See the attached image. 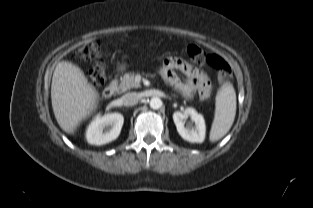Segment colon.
I'll return each mask as SVG.
<instances>
[{"mask_svg":"<svg viewBox=\"0 0 313 208\" xmlns=\"http://www.w3.org/2000/svg\"><path fill=\"white\" fill-rule=\"evenodd\" d=\"M100 44L98 42H88L78 49V56L84 60H92L99 56ZM189 58L197 63L207 62L217 71L218 80L227 82L232 77V70L229 64L217 55H207L198 46L189 45L187 48ZM89 78L95 85H101L105 81V71L101 65L93 67L89 72Z\"/></svg>","mask_w":313,"mask_h":208,"instance_id":"colon-1","label":"colon"}]
</instances>
